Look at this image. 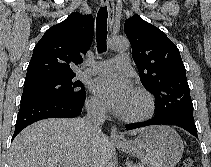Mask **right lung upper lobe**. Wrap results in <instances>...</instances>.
<instances>
[{
	"label": "right lung upper lobe",
	"instance_id": "obj_1",
	"mask_svg": "<svg viewBox=\"0 0 211 167\" xmlns=\"http://www.w3.org/2000/svg\"><path fill=\"white\" fill-rule=\"evenodd\" d=\"M94 32L92 15L73 12L50 27L34 47L25 81L48 76H73L74 65L90 48Z\"/></svg>",
	"mask_w": 211,
	"mask_h": 167
}]
</instances>
